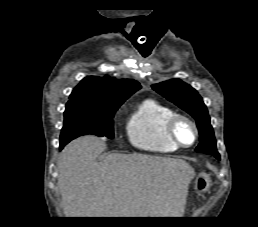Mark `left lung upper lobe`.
I'll list each match as a JSON object with an SVG mask.
<instances>
[{"mask_svg": "<svg viewBox=\"0 0 258 227\" xmlns=\"http://www.w3.org/2000/svg\"><path fill=\"white\" fill-rule=\"evenodd\" d=\"M152 88L169 101L185 110L196 120L200 133V143L195 151L211 154L220 160L213 128L210 124V117L198 92L179 79L154 84Z\"/></svg>", "mask_w": 258, "mask_h": 227, "instance_id": "obj_1", "label": "left lung upper lobe"}]
</instances>
